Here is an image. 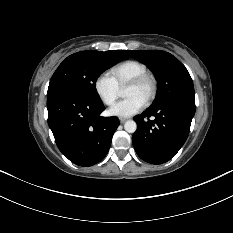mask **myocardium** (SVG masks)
Wrapping results in <instances>:
<instances>
[{"instance_id":"obj_1","label":"myocardium","mask_w":233,"mask_h":233,"mask_svg":"<svg viewBox=\"0 0 233 233\" xmlns=\"http://www.w3.org/2000/svg\"><path fill=\"white\" fill-rule=\"evenodd\" d=\"M148 84L150 89L149 93L145 99V104H150L156 97L157 91H158V83L154 75L150 73H145L142 75H139L132 80H130L126 86H143Z\"/></svg>"}]
</instances>
